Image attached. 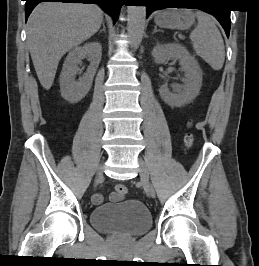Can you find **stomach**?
Wrapping results in <instances>:
<instances>
[{"label":"stomach","mask_w":259,"mask_h":266,"mask_svg":"<svg viewBox=\"0 0 259 266\" xmlns=\"http://www.w3.org/2000/svg\"><path fill=\"white\" fill-rule=\"evenodd\" d=\"M155 23L161 28L186 30L194 23V13L188 9H168L155 16Z\"/></svg>","instance_id":"stomach-1"}]
</instances>
